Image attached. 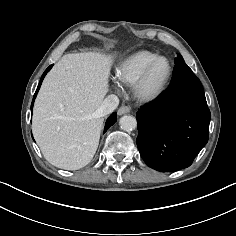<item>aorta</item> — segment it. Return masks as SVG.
Wrapping results in <instances>:
<instances>
[{
    "instance_id": "obj_1",
    "label": "aorta",
    "mask_w": 236,
    "mask_h": 236,
    "mask_svg": "<svg viewBox=\"0 0 236 236\" xmlns=\"http://www.w3.org/2000/svg\"><path fill=\"white\" fill-rule=\"evenodd\" d=\"M120 127L126 131L133 130L137 127L136 118L131 115H124L119 121Z\"/></svg>"
}]
</instances>
